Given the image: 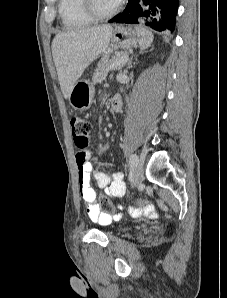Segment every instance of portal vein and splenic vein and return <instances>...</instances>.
Segmentation results:
<instances>
[{"label": "portal vein and splenic vein", "instance_id": "1", "mask_svg": "<svg viewBox=\"0 0 227 298\" xmlns=\"http://www.w3.org/2000/svg\"><path fill=\"white\" fill-rule=\"evenodd\" d=\"M128 59H129V57H128L127 55L122 56L119 60L115 61V62L111 65L110 69L115 68L117 65L126 63V62L128 61Z\"/></svg>", "mask_w": 227, "mask_h": 298}]
</instances>
